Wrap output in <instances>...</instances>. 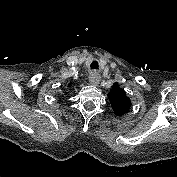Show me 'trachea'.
<instances>
[{
	"label": "trachea",
	"instance_id": "3493384b",
	"mask_svg": "<svg viewBox=\"0 0 177 177\" xmlns=\"http://www.w3.org/2000/svg\"><path fill=\"white\" fill-rule=\"evenodd\" d=\"M91 68H92V69H97V68H98V62H97V61H93V62L91 63Z\"/></svg>",
	"mask_w": 177,
	"mask_h": 177
}]
</instances>
